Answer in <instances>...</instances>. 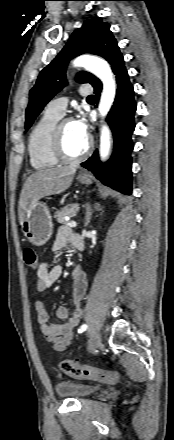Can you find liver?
<instances>
[{
	"label": "liver",
	"instance_id": "1",
	"mask_svg": "<svg viewBox=\"0 0 174 440\" xmlns=\"http://www.w3.org/2000/svg\"><path fill=\"white\" fill-rule=\"evenodd\" d=\"M75 172V168H49L40 169L30 175L23 185L19 198L20 225H23L26 213H29L40 199L60 194L68 189Z\"/></svg>",
	"mask_w": 174,
	"mask_h": 440
}]
</instances>
